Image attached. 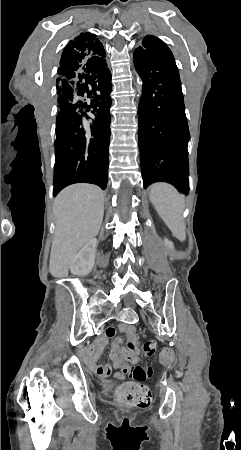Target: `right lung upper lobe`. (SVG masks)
Returning a JSON list of instances; mask_svg holds the SVG:
<instances>
[{
	"instance_id": "cb5924a9",
	"label": "right lung upper lobe",
	"mask_w": 241,
	"mask_h": 450,
	"mask_svg": "<svg viewBox=\"0 0 241 450\" xmlns=\"http://www.w3.org/2000/svg\"><path fill=\"white\" fill-rule=\"evenodd\" d=\"M105 57L103 44L96 38V35L89 32L81 33L71 40L62 52L57 83L61 78L84 68L99 66L106 61ZM57 92H59L58 89Z\"/></svg>"
}]
</instances>
